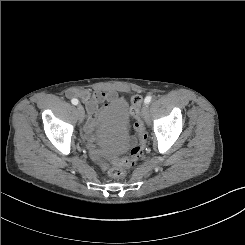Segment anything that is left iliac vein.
<instances>
[{
  "mask_svg": "<svg viewBox=\"0 0 245 245\" xmlns=\"http://www.w3.org/2000/svg\"><path fill=\"white\" fill-rule=\"evenodd\" d=\"M142 115H143V118L145 119V121L147 123H149L150 117H149V109H148L147 104H144V106L142 108Z\"/></svg>",
  "mask_w": 245,
  "mask_h": 245,
  "instance_id": "left-iliac-vein-1",
  "label": "left iliac vein"
}]
</instances>
